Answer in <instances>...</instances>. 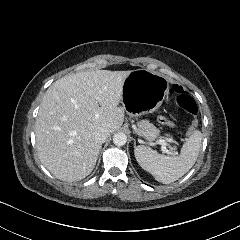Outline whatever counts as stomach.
<instances>
[{
    "instance_id": "stomach-1",
    "label": "stomach",
    "mask_w": 240,
    "mask_h": 240,
    "mask_svg": "<svg viewBox=\"0 0 240 240\" xmlns=\"http://www.w3.org/2000/svg\"><path fill=\"white\" fill-rule=\"evenodd\" d=\"M169 92V79L147 69L131 71L123 86L121 103L130 117L156 111Z\"/></svg>"
}]
</instances>
